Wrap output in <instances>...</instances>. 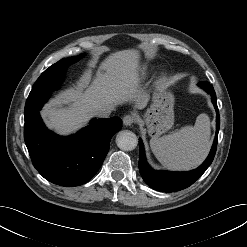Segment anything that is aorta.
<instances>
[{
	"mask_svg": "<svg viewBox=\"0 0 247 247\" xmlns=\"http://www.w3.org/2000/svg\"><path fill=\"white\" fill-rule=\"evenodd\" d=\"M116 144L121 150L131 151L136 148L138 139L132 131L123 130L117 134Z\"/></svg>",
	"mask_w": 247,
	"mask_h": 247,
	"instance_id": "1",
	"label": "aorta"
}]
</instances>
